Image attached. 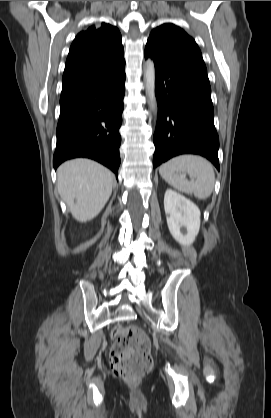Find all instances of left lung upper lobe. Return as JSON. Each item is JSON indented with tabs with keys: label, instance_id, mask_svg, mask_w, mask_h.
<instances>
[{
	"label": "left lung upper lobe",
	"instance_id": "5c2ea615",
	"mask_svg": "<svg viewBox=\"0 0 271 418\" xmlns=\"http://www.w3.org/2000/svg\"><path fill=\"white\" fill-rule=\"evenodd\" d=\"M147 43L179 62L207 72L198 45L180 27L170 23L163 24L151 32Z\"/></svg>",
	"mask_w": 271,
	"mask_h": 418
}]
</instances>
